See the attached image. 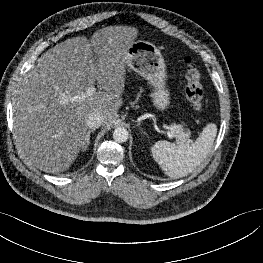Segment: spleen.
Instances as JSON below:
<instances>
[{
  "label": "spleen",
  "instance_id": "spleen-1",
  "mask_svg": "<svg viewBox=\"0 0 263 263\" xmlns=\"http://www.w3.org/2000/svg\"><path fill=\"white\" fill-rule=\"evenodd\" d=\"M216 134V124L209 123L190 146L158 141L151 147V154L167 176L181 178L190 174L206 159Z\"/></svg>",
  "mask_w": 263,
  "mask_h": 263
}]
</instances>
